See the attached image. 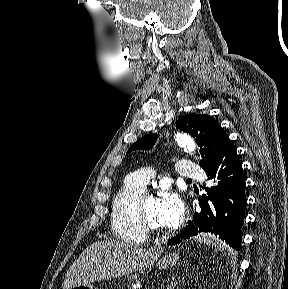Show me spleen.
<instances>
[{
    "label": "spleen",
    "instance_id": "3e777b00",
    "mask_svg": "<svg viewBox=\"0 0 288 289\" xmlns=\"http://www.w3.org/2000/svg\"><path fill=\"white\" fill-rule=\"evenodd\" d=\"M198 238L200 242H204V244L208 246L212 245V247H216V239L213 236H208L207 234H200Z\"/></svg>",
    "mask_w": 288,
    "mask_h": 289
}]
</instances>
